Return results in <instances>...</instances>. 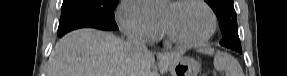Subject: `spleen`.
Instances as JSON below:
<instances>
[{
	"instance_id": "spleen-1",
	"label": "spleen",
	"mask_w": 287,
	"mask_h": 76,
	"mask_svg": "<svg viewBox=\"0 0 287 76\" xmlns=\"http://www.w3.org/2000/svg\"><path fill=\"white\" fill-rule=\"evenodd\" d=\"M199 51L207 55H214V67L224 71L226 76H244L242 67L232 55L215 51L213 48H202Z\"/></svg>"
}]
</instances>
